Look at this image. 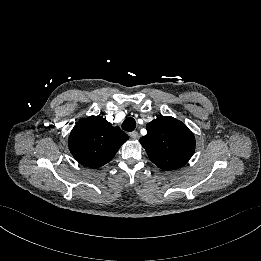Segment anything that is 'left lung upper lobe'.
Returning <instances> with one entry per match:
<instances>
[{
    "instance_id": "obj_1",
    "label": "left lung upper lobe",
    "mask_w": 261,
    "mask_h": 261,
    "mask_svg": "<svg viewBox=\"0 0 261 261\" xmlns=\"http://www.w3.org/2000/svg\"><path fill=\"white\" fill-rule=\"evenodd\" d=\"M147 135L140 138L149 159L163 170L184 166L195 150L193 133L179 120L162 116L146 125Z\"/></svg>"
}]
</instances>
